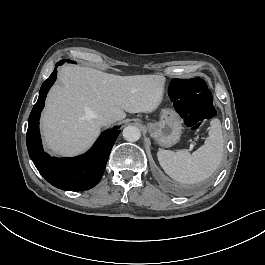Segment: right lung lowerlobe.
<instances>
[{"label": "right lung lower lobe", "instance_id": "right-lung-lower-lobe-1", "mask_svg": "<svg viewBox=\"0 0 265 265\" xmlns=\"http://www.w3.org/2000/svg\"><path fill=\"white\" fill-rule=\"evenodd\" d=\"M62 63L60 61L56 64L54 72L41 86L39 98L29 116L26 142L30 158L50 184L62 190L83 191L94 187L100 181L120 130L115 127L111 131L103 132L94 146L78 157L55 158L43 151L39 133L40 113L46 95L56 80L57 66Z\"/></svg>", "mask_w": 265, "mask_h": 265}]
</instances>
